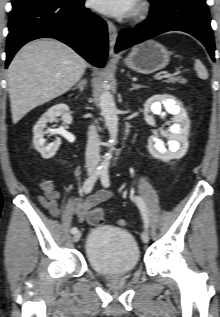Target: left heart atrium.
I'll return each mask as SVG.
<instances>
[{"label":"left heart atrium","instance_id":"left-heart-atrium-1","mask_svg":"<svg viewBox=\"0 0 220 317\" xmlns=\"http://www.w3.org/2000/svg\"><path fill=\"white\" fill-rule=\"evenodd\" d=\"M90 5L104 14L123 17L132 13L136 0H90Z\"/></svg>","mask_w":220,"mask_h":317}]
</instances>
